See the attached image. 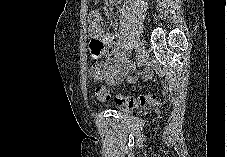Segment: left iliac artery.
Segmentation results:
<instances>
[{"label":"left iliac artery","instance_id":"44dca946","mask_svg":"<svg viewBox=\"0 0 227 157\" xmlns=\"http://www.w3.org/2000/svg\"><path fill=\"white\" fill-rule=\"evenodd\" d=\"M135 44H134V47H135V50H136V52H139V50H140V44H141V39H140V37L139 36H136L135 37Z\"/></svg>","mask_w":227,"mask_h":157}]
</instances>
